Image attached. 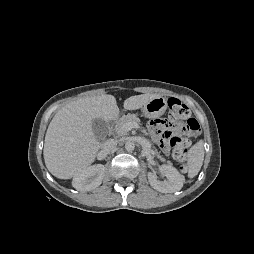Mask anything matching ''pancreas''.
<instances>
[{
    "instance_id": "1",
    "label": "pancreas",
    "mask_w": 254,
    "mask_h": 254,
    "mask_svg": "<svg viewBox=\"0 0 254 254\" xmlns=\"http://www.w3.org/2000/svg\"><path fill=\"white\" fill-rule=\"evenodd\" d=\"M129 122L139 124L140 119L135 114H127L122 116L115 125V133L119 136L125 135L127 132L123 130V126Z\"/></svg>"
}]
</instances>
